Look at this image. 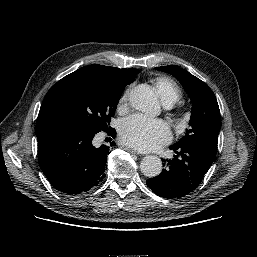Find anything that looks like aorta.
I'll list each match as a JSON object with an SVG mask.
<instances>
[{
  "instance_id": "obj_1",
  "label": "aorta",
  "mask_w": 257,
  "mask_h": 257,
  "mask_svg": "<svg viewBox=\"0 0 257 257\" xmlns=\"http://www.w3.org/2000/svg\"><path fill=\"white\" fill-rule=\"evenodd\" d=\"M129 101L136 110L149 115L156 114L160 108L157 95L150 86L145 84L131 90ZM140 169L146 177H156L162 171L161 159L155 155H147L142 159Z\"/></svg>"
}]
</instances>
